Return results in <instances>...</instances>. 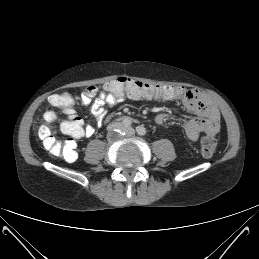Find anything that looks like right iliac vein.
Here are the masks:
<instances>
[{"label": "right iliac vein", "mask_w": 259, "mask_h": 259, "mask_svg": "<svg viewBox=\"0 0 259 259\" xmlns=\"http://www.w3.org/2000/svg\"><path fill=\"white\" fill-rule=\"evenodd\" d=\"M110 128H111V129L120 128V124H113V125H111Z\"/></svg>", "instance_id": "63e3f726"}]
</instances>
